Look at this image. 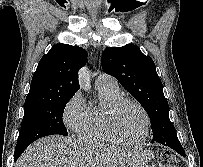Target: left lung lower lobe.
Returning <instances> with one entry per match:
<instances>
[{"mask_svg":"<svg viewBox=\"0 0 203 167\" xmlns=\"http://www.w3.org/2000/svg\"><path fill=\"white\" fill-rule=\"evenodd\" d=\"M160 143L174 149L179 154L185 156V152H183V148L177 137L169 136V137L163 138L162 140H160Z\"/></svg>","mask_w":203,"mask_h":167,"instance_id":"left-lung-lower-lobe-1","label":"left lung lower lobe"}]
</instances>
